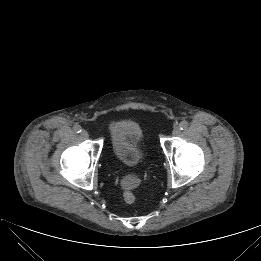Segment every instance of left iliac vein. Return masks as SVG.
Returning <instances> with one entry per match:
<instances>
[{
    "label": "left iliac vein",
    "mask_w": 261,
    "mask_h": 261,
    "mask_svg": "<svg viewBox=\"0 0 261 261\" xmlns=\"http://www.w3.org/2000/svg\"><path fill=\"white\" fill-rule=\"evenodd\" d=\"M180 134V128L179 127H174L173 131H172V135L173 136H177Z\"/></svg>",
    "instance_id": "obj_1"
}]
</instances>
